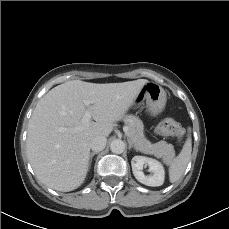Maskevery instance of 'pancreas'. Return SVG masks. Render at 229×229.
I'll use <instances>...</instances> for the list:
<instances>
[{"instance_id":"cf45deb5","label":"pancreas","mask_w":229,"mask_h":229,"mask_svg":"<svg viewBox=\"0 0 229 229\" xmlns=\"http://www.w3.org/2000/svg\"><path fill=\"white\" fill-rule=\"evenodd\" d=\"M124 122L129 128V134L127 136L138 151L162 158L167 163L174 158L175 150L172 144H168L166 141H159L152 144L146 139L143 122L138 117L127 115L124 117Z\"/></svg>"}]
</instances>
